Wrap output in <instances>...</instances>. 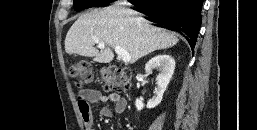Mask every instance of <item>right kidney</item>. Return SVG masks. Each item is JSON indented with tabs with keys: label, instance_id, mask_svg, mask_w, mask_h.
I'll list each match as a JSON object with an SVG mask.
<instances>
[{
	"label": "right kidney",
	"instance_id": "ca27d5eb",
	"mask_svg": "<svg viewBox=\"0 0 257 130\" xmlns=\"http://www.w3.org/2000/svg\"><path fill=\"white\" fill-rule=\"evenodd\" d=\"M155 69H159L160 71L156 78L158 87L156 90V96L150 99L147 103V108L149 109L156 107L162 101L163 94L167 89V86L174 73L175 61L169 55H157L151 58V60H149L145 66V70L148 73H152V71ZM135 106L138 111L142 110L144 107L143 99L137 98L135 101Z\"/></svg>",
	"mask_w": 257,
	"mask_h": 130
}]
</instances>
